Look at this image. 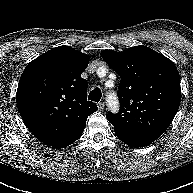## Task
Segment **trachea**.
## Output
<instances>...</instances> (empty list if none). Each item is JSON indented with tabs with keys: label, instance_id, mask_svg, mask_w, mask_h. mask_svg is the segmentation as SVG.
<instances>
[{
	"label": "trachea",
	"instance_id": "3493384b",
	"mask_svg": "<svg viewBox=\"0 0 193 193\" xmlns=\"http://www.w3.org/2000/svg\"><path fill=\"white\" fill-rule=\"evenodd\" d=\"M102 97V92L99 88H94L88 96V99L94 102H99Z\"/></svg>",
	"mask_w": 193,
	"mask_h": 193
}]
</instances>
